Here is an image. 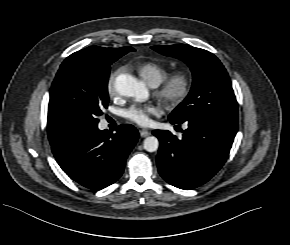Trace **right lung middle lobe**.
<instances>
[{
  "label": "right lung middle lobe",
  "mask_w": 290,
  "mask_h": 245,
  "mask_svg": "<svg viewBox=\"0 0 290 245\" xmlns=\"http://www.w3.org/2000/svg\"><path fill=\"white\" fill-rule=\"evenodd\" d=\"M122 55L92 58L73 53L61 64L50 91V102L76 128L97 126L107 108L110 65Z\"/></svg>",
  "instance_id": "right-lung-middle-lobe-1"
}]
</instances>
